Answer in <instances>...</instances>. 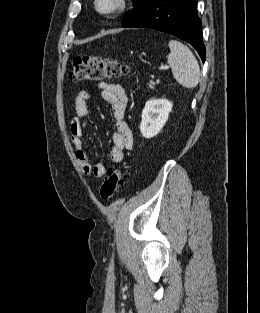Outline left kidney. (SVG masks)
Masks as SVG:
<instances>
[{
    "instance_id": "5707ae66",
    "label": "left kidney",
    "mask_w": 260,
    "mask_h": 313,
    "mask_svg": "<svg viewBox=\"0 0 260 313\" xmlns=\"http://www.w3.org/2000/svg\"><path fill=\"white\" fill-rule=\"evenodd\" d=\"M173 104L166 99H151L142 112L140 131L145 138L156 136L168 120Z\"/></svg>"
}]
</instances>
